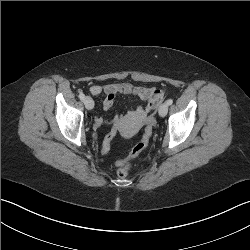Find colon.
<instances>
[{"mask_svg": "<svg viewBox=\"0 0 250 250\" xmlns=\"http://www.w3.org/2000/svg\"><path fill=\"white\" fill-rule=\"evenodd\" d=\"M163 98H164V91L157 90V93L155 95V100H154L155 109L162 102ZM154 124H155V118L153 115H150L146 120V126H145V130H144L141 140L132 148L128 156L116 162V165L119 166L117 174L120 178H124L127 176L128 172L134 165L135 159L148 146L151 135H152ZM117 131H118V126L112 125L109 132L104 136L103 142L101 144L102 156H107L109 154L110 147L115 141V135L117 134Z\"/></svg>", "mask_w": 250, "mask_h": 250, "instance_id": "1", "label": "colon"}]
</instances>
